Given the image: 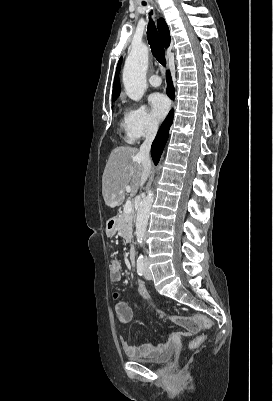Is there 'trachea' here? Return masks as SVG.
I'll return each instance as SVG.
<instances>
[{
	"label": "trachea",
	"mask_w": 273,
	"mask_h": 401,
	"mask_svg": "<svg viewBox=\"0 0 273 401\" xmlns=\"http://www.w3.org/2000/svg\"><path fill=\"white\" fill-rule=\"evenodd\" d=\"M152 14V10L149 15ZM147 38L151 48V52L156 58V60L161 63V65H166L165 51L160 38V35L155 27L153 20H149L147 27Z\"/></svg>",
	"instance_id": "trachea-1"
}]
</instances>
